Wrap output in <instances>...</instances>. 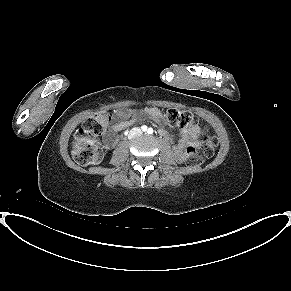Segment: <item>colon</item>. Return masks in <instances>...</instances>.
Here are the masks:
<instances>
[{
  "instance_id": "5ec220e1",
  "label": "colon",
  "mask_w": 291,
  "mask_h": 291,
  "mask_svg": "<svg viewBox=\"0 0 291 291\" xmlns=\"http://www.w3.org/2000/svg\"><path fill=\"white\" fill-rule=\"evenodd\" d=\"M165 120L172 126L184 128L197 125V120L191 112L170 108L162 113ZM109 114L100 112L90 117L76 132L71 154L76 163L80 165L97 164L102 159V150L96 138L102 135L109 122ZM204 132L206 130L204 129ZM218 145L215 135H206L201 148L189 147L185 154V164L188 167L201 165L205 158L213 155Z\"/></svg>"
}]
</instances>
